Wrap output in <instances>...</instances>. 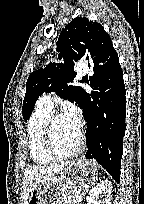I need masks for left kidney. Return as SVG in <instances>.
Instances as JSON below:
<instances>
[{"label":"left kidney","mask_w":144,"mask_h":204,"mask_svg":"<svg viewBox=\"0 0 144 204\" xmlns=\"http://www.w3.org/2000/svg\"><path fill=\"white\" fill-rule=\"evenodd\" d=\"M111 190V181L108 179L101 181L89 192L86 198L87 204H112ZM103 196H105V199L102 201L100 198Z\"/></svg>","instance_id":"left-kidney-1"}]
</instances>
